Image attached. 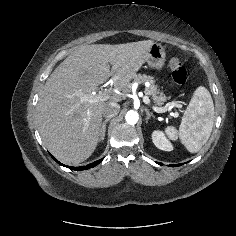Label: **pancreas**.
<instances>
[{
  "instance_id": "obj_1",
  "label": "pancreas",
  "mask_w": 236,
  "mask_h": 236,
  "mask_svg": "<svg viewBox=\"0 0 236 236\" xmlns=\"http://www.w3.org/2000/svg\"><path fill=\"white\" fill-rule=\"evenodd\" d=\"M134 81L138 83L149 82L150 86L145 89V93L149 95L156 105H162L166 100V96L158 90V86L155 84L154 78L147 75H135Z\"/></svg>"
}]
</instances>
